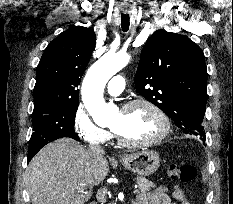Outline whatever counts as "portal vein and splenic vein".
<instances>
[{"mask_svg": "<svg viewBox=\"0 0 233 204\" xmlns=\"http://www.w3.org/2000/svg\"><path fill=\"white\" fill-rule=\"evenodd\" d=\"M133 192H134V193H137V192H138V189H137V188H135Z\"/></svg>", "mask_w": 233, "mask_h": 204, "instance_id": "1", "label": "portal vein and splenic vein"}]
</instances>
